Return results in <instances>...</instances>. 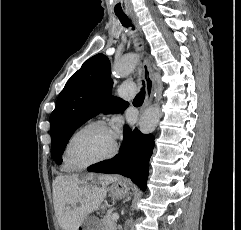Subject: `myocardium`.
Returning a JSON list of instances; mask_svg holds the SVG:
<instances>
[{"label": "myocardium", "mask_w": 241, "mask_h": 230, "mask_svg": "<svg viewBox=\"0 0 241 230\" xmlns=\"http://www.w3.org/2000/svg\"><path fill=\"white\" fill-rule=\"evenodd\" d=\"M93 127L108 128L106 122H104L102 120L90 121V122L84 124L83 126H81L78 130H76L69 138V140L65 146V149H64L63 159L71 170H81V169H85V168H88V167H91V166H94L97 164L105 163V162L112 160L113 158H115L117 156L118 151H119V146H118V143L115 141L114 147L111 150V152L101 158L95 159V160L87 162V163L79 164V165L74 164L70 160L69 153H70V148H71L73 141L82 132H84L87 129L93 128Z\"/></svg>", "instance_id": "f54148a6"}]
</instances>
